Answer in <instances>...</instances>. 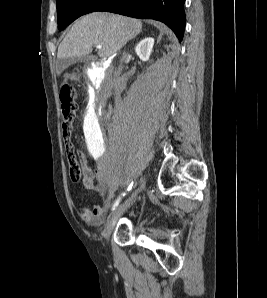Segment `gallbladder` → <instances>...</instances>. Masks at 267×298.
Returning a JSON list of instances; mask_svg holds the SVG:
<instances>
[{
  "mask_svg": "<svg viewBox=\"0 0 267 298\" xmlns=\"http://www.w3.org/2000/svg\"><path fill=\"white\" fill-rule=\"evenodd\" d=\"M89 59L88 56H82L79 58H67V59H58L56 64L57 71L61 72L64 69L68 68L71 64L75 63L76 61H87Z\"/></svg>",
  "mask_w": 267,
  "mask_h": 298,
  "instance_id": "gallbladder-1",
  "label": "gallbladder"
}]
</instances>
